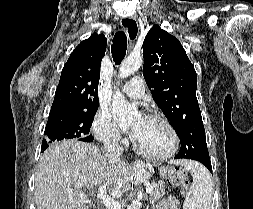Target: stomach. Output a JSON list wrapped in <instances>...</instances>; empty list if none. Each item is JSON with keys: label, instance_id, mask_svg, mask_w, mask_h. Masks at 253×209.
<instances>
[{"label": "stomach", "instance_id": "stomach-1", "mask_svg": "<svg viewBox=\"0 0 253 209\" xmlns=\"http://www.w3.org/2000/svg\"><path fill=\"white\" fill-rule=\"evenodd\" d=\"M158 175L161 177V179H168L169 177L167 171H162V170L158 172Z\"/></svg>", "mask_w": 253, "mask_h": 209}]
</instances>
